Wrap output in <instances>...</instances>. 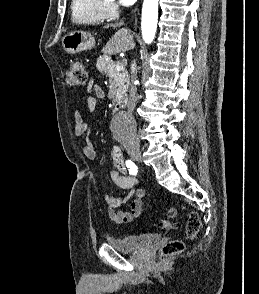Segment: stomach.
I'll return each instance as SVG.
<instances>
[{
	"mask_svg": "<svg viewBox=\"0 0 259 294\" xmlns=\"http://www.w3.org/2000/svg\"><path fill=\"white\" fill-rule=\"evenodd\" d=\"M62 46L66 53L75 54L91 50L95 46V39L90 33L73 31L63 37Z\"/></svg>",
	"mask_w": 259,
	"mask_h": 294,
	"instance_id": "0dacf381",
	"label": "stomach"
}]
</instances>
